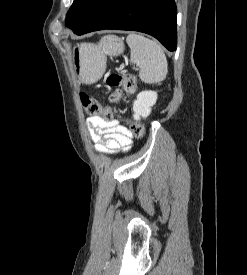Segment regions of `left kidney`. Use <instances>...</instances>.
Listing matches in <instances>:
<instances>
[{"label":"left kidney","mask_w":247,"mask_h":275,"mask_svg":"<svg viewBox=\"0 0 247 275\" xmlns=\"http://www.w3.org/2000/svg\"><path fill=\"white\" fill-rule=\"evenodd\" d=\"M157 93L155 91H142L137 95V99L133 103V118L140 120L141 117L146 118L151 113V107L155 105Z\"/></svg>","instance_id":"1"}]
</instances>
